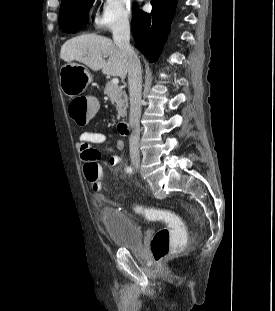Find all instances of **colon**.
<instances>
[{"mask_svg":"<svg viewBox=\"0 0 275 311\" xmlns=\"http://www.w3.org/2000/svg\"><path fill=\"white\" fill-rule=\"evenodd\" d=\"M99 97H82L72 100L70 109L77 125H88L100 116ZM86 180L94 192L100 188L101 168L95 162H89L84 167ZM144 214L151 219L163 221L166 226L159 229L153 236L150 248L157 262H161L172 253L183 249L186 244V234L181 218L170 210L143 209Z\"/></svg>","mask_w":275,"mask_h":311,"instance_id":"colon-1","label":"colon"}]
</instances>
